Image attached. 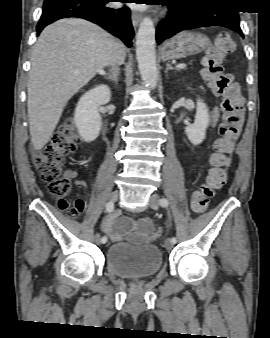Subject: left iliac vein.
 Returning <instances> with one entry per match:
<instances>
[{
  "label": "left iliac vein",
  "instance_id": "left-iliac-vein-1",
  "mask_svg": "<svg viewBox=\"0 0 270 338\" xmlns=\"http://www.w3.org/2000/svg\"><path fill=\"white\" fill-rule=\"evenodd\" d=\"M149 206L152 209H158V207H159V196L157 194L151 195L150 200H149ZM172 247H173V243L171 242L170 239H167L165 241V248L167 250H170V249H172Z\"/></svg>",
  "mask_w": 270,
  "mask_h": 338
}]
</instances>
